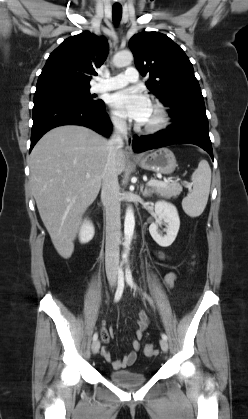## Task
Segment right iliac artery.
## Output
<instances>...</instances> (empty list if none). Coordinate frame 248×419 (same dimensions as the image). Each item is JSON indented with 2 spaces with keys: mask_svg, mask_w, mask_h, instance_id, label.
<instances>
[{
  "mask_svg": "<svg viewBox=\"0 0 248 419\" xmlns=\"http://www.w3.org/2000/svg\"><path fill=\"white\" fill-rule=\"evenodd\" d=\"M123 290H124V273L122 271V268H119V270H118V286H117V290H116L115 298H114L115 302L120 300V298L122 296V293H123ZM97 338H98V334L95 333L93 335V341L97 340Z\"/></svg>",
  "mask_w": 248,
  "mask_h": 419,
  "instance_id": "1",
  "label": "right iliac artery"
}]
</instances>
